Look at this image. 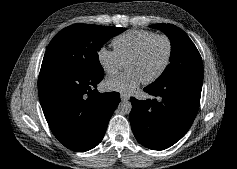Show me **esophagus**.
<instances>
[{"label":"esophagus","mask_w":237,"mask_h":169,"mask_svg":"<svg viewBox=\"0 0 237 169\" xmlns=\"http://www.w3.org/2000/svg\"><path fill=\"white\" fill-rule=\"evenodd\" d=\"M121 100L122 101H128L129 99H130V96L129 95H127V94H121Z\"/></svg>","instance_id":"1"}]
</instances>
